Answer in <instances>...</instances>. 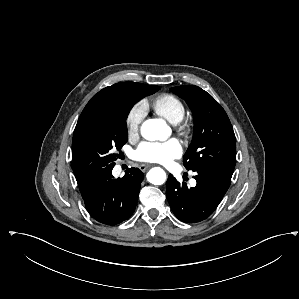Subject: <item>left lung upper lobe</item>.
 I'll return each instance as SVG.
<instances>
[{"label": "left lung upper lobe", "instance_id": "1", "mask_svg": "<svg viewBox=\"0 0 299 299\" xmlns=\"http://www.w3.org/2000/svg\"><path fill=\"white\" fill-rule=\"evenodd\" d=\"M193 112L192 142L183 157L187 170L212 169L230 178L235 168L236 141L230 120L220 104L194 85L171 88Z\"/></svg>", "mask_w": 299, "mask_h": 299}]
</instances>
